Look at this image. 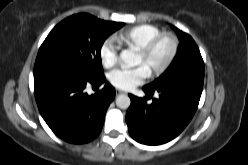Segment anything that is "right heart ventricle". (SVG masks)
Returning <instances> with one entry per match:
<instances>
[{
  "label": "right heart ventricle",
  "mask_w": 248,
  "mask_h": 165,
  "mask_svg": "<svg viewBox=\"0 0 248 165\" xmlns=\"http://www.w3.org/2000/svg\"><path fill=\"white\" fill-rule=\"evenodd\" d=\"M162 33V30L157 26L151 24H140L118 33L115 36V39L122 46L140 49L151 39L161 35Z\"/></svg>",
  "instance_id": "1"
}]
</instances>
